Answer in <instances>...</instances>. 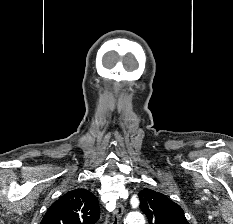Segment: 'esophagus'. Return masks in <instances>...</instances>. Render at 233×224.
<instances>
[{
    "instance_id": "1",
    "label": "esophagus",
    "mask_w": 233,
    "mask_h": 224,
    "mask_svg": "<svg viewBox=\"0 0 233 224\" xmlns=\"http://www.w3.org/2000/svg\"><path fill=\"white\" fill-rule=\"evenodd\" d=\"M123 213H124V208L122 204L118 203L116 210L113 213V217H116L118 220H121Z\"/></svg>"
}]
</instances>
